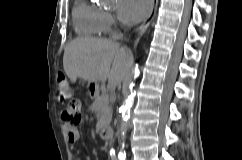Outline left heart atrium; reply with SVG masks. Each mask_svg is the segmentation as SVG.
Masks as SVG:
<instances>
[{"label":"left heart atrium","instance_id":"left-heart-atrium-1","mask_svg":"<svg viewBox=\"0 0 242 160\" xmlns=\"http://www.w3.org/2000/svg\"><path fill=\"white\" fill-rule=\"evenodd\" d=\"M152 0H117V14L128 24L141 21L149 12Z\"/></svg>","mask_w":242,"mask_h":160}]
</instances>
